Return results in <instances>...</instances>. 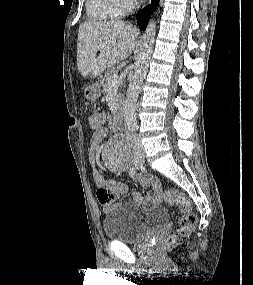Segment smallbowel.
<instances>
[{
	"mask_svg": "<svg viewBox=\"0 0 253 285\" xmlns=\"http://www.w3.org/2000/svg\"><path fill=\"white\" fill-rule=\"evenodd\" d=\"M105 118L109 117L108 113L104 114ZM104 117L101 118V125L98 127H93L95 132L90 140V144L88 147V154L93 162H95V157L98 151L100 150L104 139L107 136L108 129L104 127ZM131 170V169H130ZM129 175V172H128ZM94 181L99 187H108L116 192V194H126L128 192V187L114 180H105L104 177L100 174L99 171H95L93 174ZM135 180L138 184L142 186H149L152 189V193L150 195L144 196L140 193H134L133 196L135 200L142 202H149L153 204H160L163 201V189L160 183V180L154 176L148 175H140ZM109 204H104L103 209L108 210Z\"/></svg>",
	"mask_w": 253,
	"mask_h": 285,
	"instance_id": "obj_1",
	"label": "small bowel"
}]
</instances>
